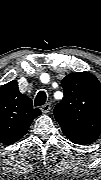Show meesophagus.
<instances>
[{
  "mask_svg": "<svg viewBox=\"0 0 101 180\" xmlns=\"http://www.w3.org/2000/svg\"><path fill=\"white\" fill-rule=\"evenodd\" d=\"M50 109H51V104L50 103H46L45 105H43L41 107V111L43 113H48L50 111Z\"/></svg>",
  "mask_w": 101,
  "mask_h": 180,
  "instance_id": "1",
  "label": "esophagus"
}]
</instances>
